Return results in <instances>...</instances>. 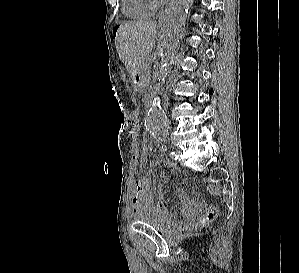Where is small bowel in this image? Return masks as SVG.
Masks as SVG:
<instances>
[{
  "mask_svg": "<svg viewBox=\"0 0 299 273\" xmlns=\"http://www.w3.org/2000/svg\"><path fill=\"white\" fill-rule=\"evenodd\" d=\"M149 150L142 149L140 154V161L138 167L144 169L148 163ZM168 180L172 181L173 176H168ZM178 195L181 200V214L186 220L195 219L202 211V205L199 201L191 196L186 190L179 188ZM157 202L152 195L150 183L148 179L141 178L136 183V190L133 197V203L135 210L143 208H151L156 210L163 218L168 219L170 217L169 211L164 204L165 192L162 185L157 186Z\"/></svg>",
  "mask_w": 299,
  "mask_h": 273,
  "instance_id": "1",
  "label": "small bowel"
}]
</instances>
